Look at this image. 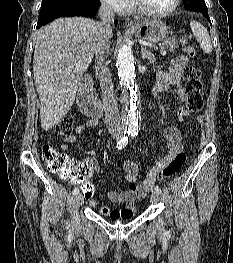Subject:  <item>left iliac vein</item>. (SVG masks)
<instances>
[{
    "instance_id": "obj_1",
    "label": "left iliac vein",
    "mask_w": 233,
    "mask_h": 263,
    "mask_svg": "<svg viewBox=\"0 0 233 263\" xmlns=\"http://www.w3.org/2000/svg\"><path fill=\"white\" fill-rule=\"evenodd\" d=\"M159 200H160L159 193L156 192V191L152 192V194H151V202L156 204V203L159 202Z\"/></svg>"
}]
</instances>
